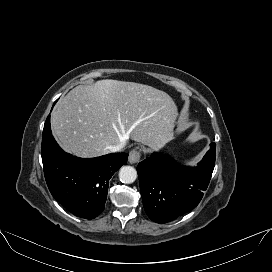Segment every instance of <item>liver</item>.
Masks as SVG:
<instances>
[{"mask_svg": "<svg viewBox=\"0 0 272 272\" xmlns=\"http://www.w3.org/2000/svg\"><path fill=\"white\" fill-rule=\"evenodd\" d=\"M173 99L154 87L118 80L79 85L56 105L52 132L68 153L92 158L129 139L159 149L174 138Z\"/></svg>", "mask_w": 272, "mask_h": 272, "instance_id": "liver-1", "label": "liver"}]
</instances>
